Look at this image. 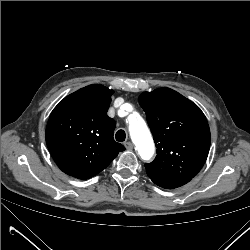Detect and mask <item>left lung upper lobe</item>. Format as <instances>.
<instances>
[{
	"label": "left lung upper lobe",
	"instance_id": "1",
	"mask_svg": "<svg viewBox=\"0 0 250 250\" xmlns=\"http://www.w3.org/2000/svg\"><path fill=\"white\" fill-rule=\"evenodd\" d=\"M139 103L146 113L157 155L145 164L147 174L164 178H193L204 165L210 130L201 109L170 88L143 92Z\"/></svg>",
	"mask_w": 250,
	"mask_h": 250
}]
</instances>
